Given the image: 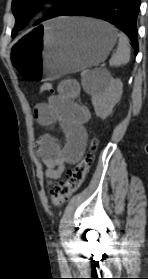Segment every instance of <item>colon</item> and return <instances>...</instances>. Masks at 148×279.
Here are the masks:
<instances>
[{
    "label": "colon",
    "instance_id": "1",
    "mask_svg": "<svg viewBox=\"0 0 148 279\" xmlns=\"http://www.w3.org/2000/svg\"><path fill=\"white\" fill-rule=\"evenodd\" d=\"M40 92L52 93L53 85L48 82L43 83L40 86ZM97 145V139L92 138L83 158L76 164L70 166L67 169L65 180L51 189L50 198L53 205L61 206L81 188L93 163Z\"/></svg>",
    "mask_w": 148,
    "mask_h": 279
}]
</instances>
